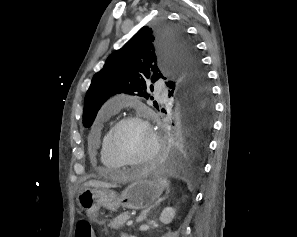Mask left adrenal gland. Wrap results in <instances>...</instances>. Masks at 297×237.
Returning a JSON list of instances; mask_svg holds the SVG:
<instances>
[{
    "mask_svg": "<svg viewBox=\"0 0 297 237\" xmlns=\"http://www.w3.org/2000/svg\"><path fill=\"white\" fill-rule=\"evenodd\" d=\"M168 193H169V190H167L166 195H165L163 198L159 199L153 206L149 207V208L146 209V210H143V211L141 212L140 216L137 218V222L140 223V222H142L143 220H145L147 214L149 213V211H150L152 208H154L155 206H158V205L160 204V202L166 200V198L168 197Z\"/></svg>",
    "mask_w": 297,
    "mask_h": 237,
    "instance_id": "left-adrenal-gland-1",
    "label": "left adrenal gland"
}]
</instances>
